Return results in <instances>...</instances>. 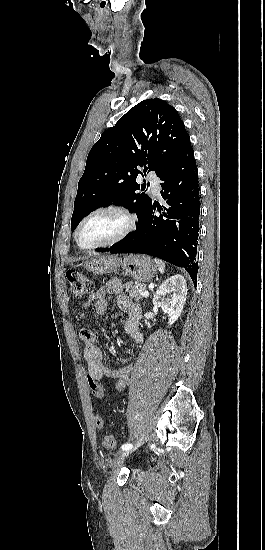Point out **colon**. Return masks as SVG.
<instances>
[{
  "label": "colon",
  "instance_id": "obj_1",
  "mask_svg": "<svg viewBox=\"0 0 265 550\" xmlns=\"http://www.w3.org/2000/svg\"><path fill=\"white\" fill-rule=\"evenodd\" d=\"M66 278L69 284V290L73 297L80 298L93 290L92 281L78 270H69L66 274ZM89 387L98 399L103 398L102 390L97 381L92 378H88ZM96 425L98 427L103 426V419L101 416H96ZM102 444L107 449H112L115 446V438L111 434H106L103 437Z\"/></svg>",
  "mask_w": 265,
  "mask_h": 550
}]
</instances>
